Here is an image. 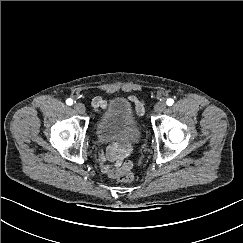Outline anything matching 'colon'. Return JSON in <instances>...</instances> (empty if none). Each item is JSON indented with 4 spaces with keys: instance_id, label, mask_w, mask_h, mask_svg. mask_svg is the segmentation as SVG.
Listing matches in <instances>:
<instances>
[{
    "instance_id": "obj_1",
    "label": "colon",
    "mask_w": 243,
    "mask_h": 243,
    "mask_svg": "<svg viewBox=\"0 0 243 243\" xmlns=\"http://www.w3.org/2000/svg\"><path fill=\"white\" fill-rule=\"evenodd\" d=\"M130 169L131 166L119 176L120 182L129 183L134 180V174L130 171Z\"/></svg>"
}]
</instances>
